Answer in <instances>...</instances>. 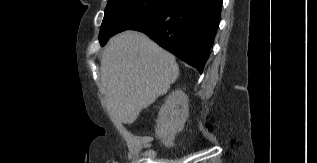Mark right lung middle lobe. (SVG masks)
I'll list each match as a JSON object with an SVG mask.
<instances>
[{"mask_svg":"<svg viewBox=\"0 0 317 163\" xmlns=\"http://www.w3.org/2000/svg\"><path fill=\"white\" fill-rule=\"evenodd\" d=\"M171 0H108L99 39H108L145 21L162 10Z\"/></svg>","mask_w":317,"mask_h":163,"instance_id":"right-lung-middle-lobe-1","label":"right lung middle lobe"}]
</instances>
